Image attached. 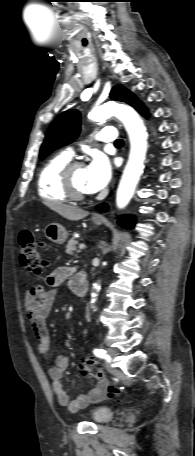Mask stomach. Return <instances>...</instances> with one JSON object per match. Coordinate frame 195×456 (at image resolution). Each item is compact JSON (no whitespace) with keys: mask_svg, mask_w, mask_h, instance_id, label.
Instances as JSON below:
<instances>
[{"mask_svg":"<svg viewBox=\"0 0 195 456\" xmlns=\"http://www.w3.org/2000/svg\"><path fill=\"white\" fill-rule=\"evenodd\" d=\"M93 223L99 226L102 224V220L94 219ZM45 235L50 241L57 244H63L68 237V232L62 225L58 223H50L45 228Z\"/></svg>","mask_w":195,"mask_h":456,"instance_id":"obj_1","label":"stomach"}]
</instances>
